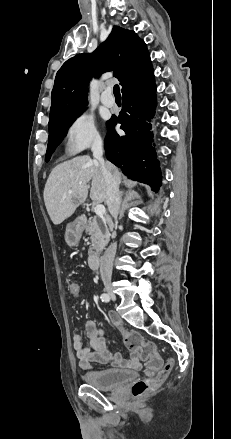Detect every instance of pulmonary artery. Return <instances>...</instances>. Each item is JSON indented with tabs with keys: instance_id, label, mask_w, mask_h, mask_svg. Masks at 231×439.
<instances>
[{
	"instance_id": "obj_1",
	"label": "pulmonary artery",
	"mask_w": 231,
	"mask_h": 439,
	"mask_svg": "<svg viewBox=\"0 0 231 439\" xmlns=\"http://www.w3.org/2000/svg\"><path fill=\"white\" fill-rule=\"evenodd\" d=\"M101 102L104 106L111 108L115 105V101L113 97L110 94V89H106L102 96H101Z\"/></svg>"
}]
</instances>
